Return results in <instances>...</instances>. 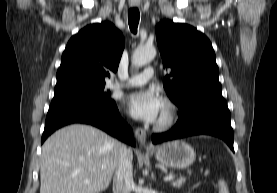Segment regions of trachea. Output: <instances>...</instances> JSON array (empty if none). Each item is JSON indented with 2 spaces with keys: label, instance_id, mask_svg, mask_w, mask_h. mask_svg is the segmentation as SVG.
Listing matches in <instances>:
<instances>
[{
  "label": "trachea",
  "instance_id": "1",
  "mask_svg": "<svg viewBox=\"0 0 277 193\" xmlns=\"http://www.w3.org/2000/svg\"><path fill=\"white\" fill-rule=\"evenodd\" d=\"M140 19V14L137 8H131L128 11V24L130 27V30L136 34L137 33V27Z\"/></svg>",
  "mask_w": 277,
  "mask_h": 193
}]
</instances>
